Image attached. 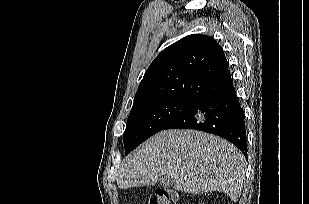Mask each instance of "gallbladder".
Instances as JSON below:
<instances>
[{
  "mask_svg": "<svg viewBox=\"0 0 309 204\" xmlns=\"http://www.w3.org/2000/svg\"><path fill=\"white\" fill-rule=\"evenodd\" d=\"M160 185L164 188H170L173 185V179L170 176L165 175L160 179Z\"/></svg>",
  "mask_w": 309,
  "mask_h": 204,
  "instance_id": "bac80fb5",
  "label": "gallbladder"
}]
</instances>
